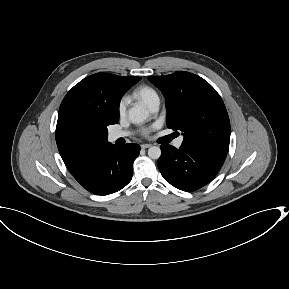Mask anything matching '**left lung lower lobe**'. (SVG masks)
Returning a JSON list of instances; mask_svg holds the SVG:
<instances>
[{
  "label": "left lung lower lobe",
  "mask_w": 289,
  "mask_h": 289,
  "mask_svg": "<svg viewBox=\"0 0 289 289\" xmlns=\"http://www.w3.org/2000/svg\"><path fill=\"white\" fill-rule=\"evenodd\" d=\"M158 168L172 186L195 191L208 184L220 170L226 154L183 142L179 149L161 145Z\"/></svg>",
  "instance_id": "0a47b994"
}]
</instances>
